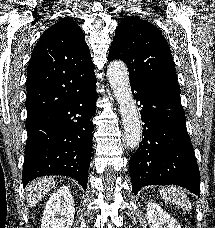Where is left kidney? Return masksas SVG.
<instances>
[{
    "instance_id": "5707ae66",
    "label": "left kidney",
    "mask_w": 215,
    "mask_h": 228,
    "mask_svg": "<svg viewBox=\"0 0 215 228\" xmlns=\"http://www.w3.org/2000/svg\"><path fill=\"white\" fill-rule=\"evenodd\" d=\"M147 220L150 228H181L177 220L169 216L155 202H149L147 204Z\"/></svg>"
}]
</instances>
